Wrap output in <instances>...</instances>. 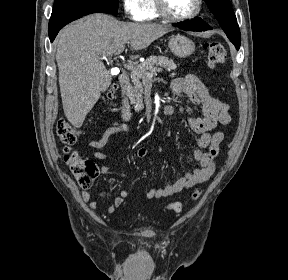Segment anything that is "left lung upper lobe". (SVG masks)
<instances>
[{
    "label": "left lung upper lobe",
    "instance_id": "1",
    "mask_svg": "<svg viewBox=\"0 0 288 280\" xmlns=\"http://www.w3.org/2000/svg\"><path fill=\"white\" fill-rule=\"evenodd\" d=\"M220 26L233 44L241 43V34L230 0H205Z\"/></svg>",
    "mask_w": 288,
    "mask_h": 280
}]
</instances>
